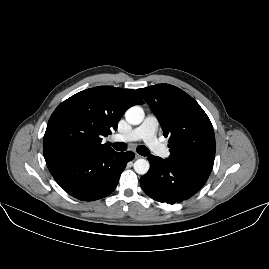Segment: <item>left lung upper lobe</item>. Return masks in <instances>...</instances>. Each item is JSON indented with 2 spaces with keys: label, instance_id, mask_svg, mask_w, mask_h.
Returning a JSON list of instances; mask_svg holds the SVG:
<instances>
[{
  "label": "left lung upper lobe",
  "instance_id": "left-lung-upper-lobe-1",
  "mask_svg": "<svg viewBox=\"0 0 269 269\" xmlns=\"http://www.w3.org/2000/svg\"><path fill=\"white\" fill-rule=\"evenodd\" d=\"M170 136L168 161L210 174L215 158L212 124L199 104L183 90L158 84L137 90Z\"/></svg>",
  "mask_w": 269,
  "mask_h": 269
}]
</instances>
